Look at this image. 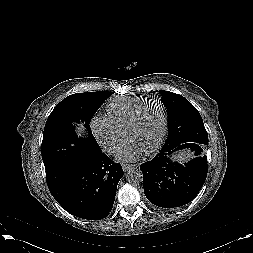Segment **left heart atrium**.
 <instances>
[{
    "label": "left heart atrium",
    "instance_id": "obj_1",
    "mask_svg": "<svg viewBox=\"0 0 253 253\" xmlns=\"http://www.w3.org/2000/svg\"><path fill=\"white\" fill-rule=\"evenodd\" d=\"M146 150L134 140H127L116 157L121 161H134L138 159Z\"/></svg>",
    "mask_w": 253,
    "mask_h": 253
}]
</instances>
